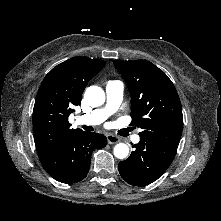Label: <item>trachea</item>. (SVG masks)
I'll return each instance as SVG.
<instances>
[{"mask_svg":"<svg viewBox=\"0 0 221 221\" xmlns=\"http://www.w3.org/2000/svg\"><path fill=\"white\" fill-rule=\"evenodd\" d=\"M83 128L88 131H91V129H92L90 126H83Z\"/></svg>","mask_w":221,"mask_h":221,"instance_id":"1","label":"trachea"}]
</instances>
